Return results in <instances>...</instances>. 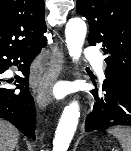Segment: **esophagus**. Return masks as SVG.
Returning a JSON list of instances; mask_svg holds the SVG:
<instances>
[{
  "mask_svg": "<svg viewBox=\"0 0 131 151\" xmlns=\"http://www.w3.org/2000/svg\"><path fill=\"white\" fill-rule=\"evenodd\" d=\"M64 54L59 49L58 43L55 46V54L52 58L48 71L44 74L36 86V101L41 109H44L51 101V89L57 78L61 75L64 67Z\"/></svg>",
  "mask_w": 131,
  "mask_h": 151,
  "instance_id": "obj_1",
  "label": "esophagus"
}]
</instances>
